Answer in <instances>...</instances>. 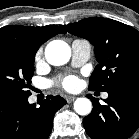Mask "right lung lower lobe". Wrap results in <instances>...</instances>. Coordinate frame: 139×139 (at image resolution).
<instances>
[{"label":"right lung lower lobe","mask_w":139,"mask_h":139,"mask_svg":"<svg viewBox=\"0 0 139 139\" xmlns=\"http://www.w3.org/2000/svg\"><path fill=\"white\" fill-rule=\"evenodd\" d=\"M66 103L49 95L37 107L28 97L0 95V139H47L55 113Z\"/></svg>","instance_id":"right-lung-lower-lobe-1"}]
</instances>
